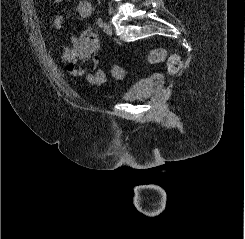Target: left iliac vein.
Returning <instances> with one entry per match:
<instances>
[{"label": "left iliac vein", "mask_w": 245, "mask_h": 239, "mask_svg": "<svg viewBox=\"0 0 245 239\" xmlns=\"http://www.w3.org/2000/svg\"><path fill=\"white\" fill-rule=\"evenodd\" d=\"M103 30H104V32H105L106 34L111 35V34H112V26H111V24L108 23V22H105V23L103 24Z\"/></svg>", "instance_id": "1"}]
</instances>
